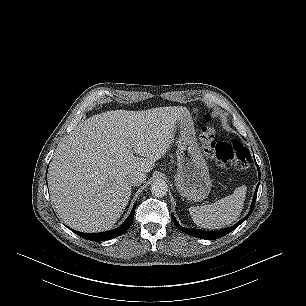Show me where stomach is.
<instances>
[{"label": "stomach", "instance_id": "1", "mask_svg": "<svg viewBox=\"0 0 306 306\" xmlns=\"http://www.w3.org/2000/svg\"><path fill=\"white\" fill-rule=\"evenodd\" d=\"M177 172L175 186L190 202L204 200L211 190L207 163L199 148L191 116L178 122Z\"/></svg>", "mask_w": 306, "mask_h": 306}]
</instances>
